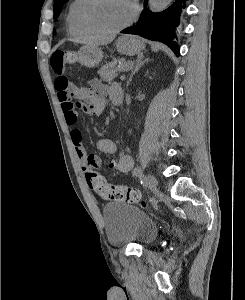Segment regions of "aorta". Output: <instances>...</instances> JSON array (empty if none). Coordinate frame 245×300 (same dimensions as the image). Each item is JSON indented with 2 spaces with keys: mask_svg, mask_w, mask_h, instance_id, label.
Listing matches in <instances>:
<instances>
[{
  "mask_svg": "<svg viewBox=\"0 0 245 300\" xmlns=\"http://www.w3.org/2000/svg\"><path fill=\"white\" fill-rule=\"evenodd\" d=\"M172 0H149V8L152 12L164 10Z\"/></svg>",
  "mask_w": 245,
  "mask_h": 300,
  "instance_id": "obj_1",
  "label": "aorta"
}]
</instances>
